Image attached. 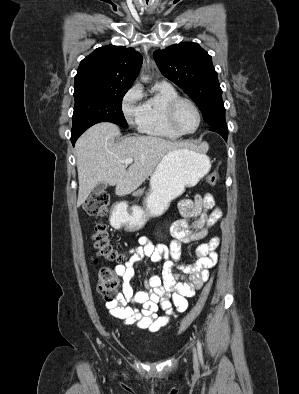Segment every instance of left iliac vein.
I'll use <instances>...</instances> for the list:
<instances>
[{
  "instance_id": "1",
  "label": "left iliac vein",
  "mask_w": 299,
  "mask_h": 394,
  "mask_svg": "<svg viewBox=\"0 0 299 394\" xmlns=\"http://www.w3.org/2000/svg\"><path fill=\"white\" fill-rule=\"evenodd\" d=\"M194 363L197 364V356L195 353H194Z\"/></svg>"
}]
</instances>
